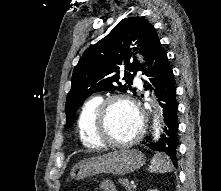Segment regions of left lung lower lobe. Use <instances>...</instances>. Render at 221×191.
Masks as SVG:
<instances>
[{
    "mask_svg": "<svg viewBox=\"0 0 221 191\" xmlns=\"http://www.w3.org/2000/svg\"><path fill=\"white\" fill-rule=\"evenodd\" d=\"M148 69L142 67L141 71L146 76H152L150 81L156 87V95L161 101L165 127L163 134L157 142L149 144V147L168 156L174 163L177 160L178 141V103L176 100V87L173 80V71L167 59L158 37L153 40L146 57ZM147 81L144 87H148Z\"/></svg>",
    "mask_w": 221,
    "mask_h": 191,
    "instance_id": "left-lung-lower-lobe-1",
    "label": "left lung lower lobe"
}]
</instances>
